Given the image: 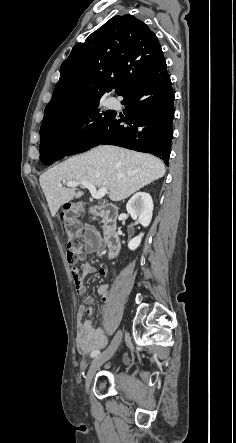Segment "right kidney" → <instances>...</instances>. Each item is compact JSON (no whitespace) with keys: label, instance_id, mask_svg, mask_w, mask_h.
<instances>
[{"label":"right kidney","instance_id":"1","mask_svg":"<svg viewBox=\"0 0 236 443\" xmlns=\"http://www.w3.org/2000/svg\"><path fill=\"white\" fill-rule=\"evenodd\" d=\"M126 210L133 220L147 227L152 219L153 200L149 193L138 192L132 196L126 205ZM143 233L131 239L128 243L130 250H135L141 243Z\"/></svg>","mask_w":236,"mask_h":443}]
</instances>
